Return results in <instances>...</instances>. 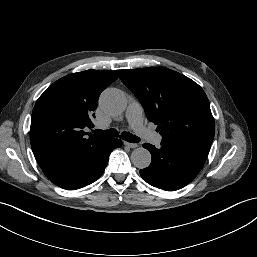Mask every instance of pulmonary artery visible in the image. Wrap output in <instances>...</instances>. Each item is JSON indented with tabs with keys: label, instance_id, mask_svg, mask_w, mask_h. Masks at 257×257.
Masks as SVG:
<instances>
[{
	"label": "pulmonary artery",
	"instance_id": "obj_1",
	"mask_svg": "<svg viewBox=\"0 0 257 257\" xmlns=\"http://www.w3.org/2000/svg\"><path fill=\"white\" fill-rule=\"evenodd\" d=\"M142 114L143 109L141 105L137 101H132L127 107L125 116L130 127L135 132L148 139L154 145H159L162 137L145 127Z\"/></svg>",
	"mask_w": 257,
	"mask_h": 257
}]
</instances>
